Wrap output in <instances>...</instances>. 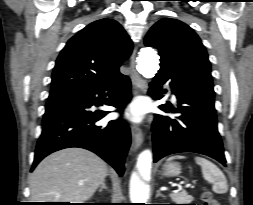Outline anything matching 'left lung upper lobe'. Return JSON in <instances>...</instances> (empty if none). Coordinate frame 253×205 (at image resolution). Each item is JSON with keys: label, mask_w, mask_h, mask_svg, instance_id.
Here are the masks:
<instances>
[{"label": "left lung upper lobe", "mask_w": 253, "mask_h": 205, "mask_svg": "<svg viewBox=\"0 0 253 205\" xmlns=\"http://www.w3.org/2000/svg\"><path fill=\"white\" fill-rule=\"evenodd\" d=\"M144 43L158 49L161 64L171 66L201 90L214 96L206 49L188 25L176 19H161L149 30Z\"/></svg>", "instance_id": "5c2ea615"}]
</instances>
